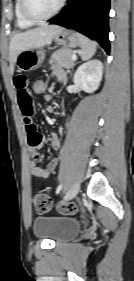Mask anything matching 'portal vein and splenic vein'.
Masks as SVG:
<instances>
[{"instance_id":"portal-vein-and-splenic-vein-1","label":"portal vein and splenic vein","mask_w":134,"mask_h":281,"mask_svg":"<svg viewBox=\"0 0 134 281\" xmlns=\"http://www.w3.org/2000/svg\"><path fill=\"white\" fill-rule=\"evenodd\" d=\"M72 60L73 61L77 60V56L75 54L72 55Z\"/></svg>"}]
</instances>
